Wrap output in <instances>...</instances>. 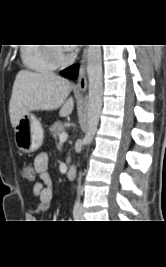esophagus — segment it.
Returning a JSON list of instances; mask_svg holds the SVG:
<instances>
[{
	"instance_id": "esophagus-1",
	"label": "esophagus",
	"mask_w": 166,
	"mask_h": 267,
	"mask_svg": "<svg viewBox=\"0 0 166 267\" xmlns=\"http://www.w3.org/2000/svg\"><path fill=\"white\" fill-rule=\"evenodd\" d=\"M86 54H87V50L84 49L82 59H81V65L82 66L86 61ZM76 88L79 90H86V88H87V77H86V74H85V71L83 68L80 71Z\"/></svg>"
}]
</instances>
